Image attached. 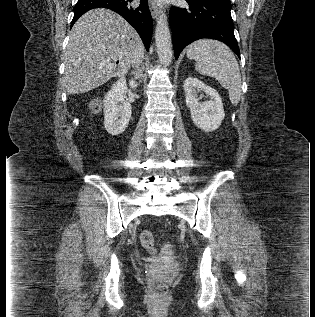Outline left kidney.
I'll list each match as a JSON object with an SVG mask.
<instances>
[{
    "label": "left kidney",
    "instance_id": "left-kidney-1",
    "mask_svg": "<svg viewBox=\"0 0 315 317\" xmlns=\"http://www.w3.org/2000/svg\"><path fill=\"white\" fill-rule=\"evenodd\" d=\"M186 106L190 108L191 119L200 129L209 132L219 128L225 117L222 99L212 87L194 77H188L183 84ZM204 92L209 100L200 102L197 93Z\"/></svg>",
    "mask_w": 315,
    "mask_h": 317
}]
</instances>
